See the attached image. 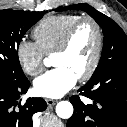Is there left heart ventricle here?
<instances>
[{
  "label": "left heart ventricle",
  "instance_id": "left-heart-ventricle-1",
  "mask_svg": "<svg viewBox=\"0 0 127 127\" xmlns=\"http://www.w3.org/2000/svg\"><path fill=\"white\" fill-rule=\"evenodd\" d=\"M96 47V31L90 23H84L76 32L68 51L54 55L55 67H65L77 78L89 67Z\"/></svg>",
  "mask_w": 127,
  "mask_h": 127
}]
</instances>
